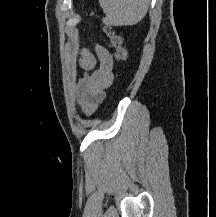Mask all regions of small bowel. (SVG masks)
<instances>
[{
    "instance_id": "c3829d8e",
    "label": "small bowel",
    "mask_w": 216,
    "mask_h": 217,
    "mask_svg": "<svg viewBox=\"0 0 216 217\" xmlns=\"http://www.w3.org/2000/svg\"><path fill=\"white\" fill-rule=\"evenodd\" d=\"M79 65L84 76L76 86L78 104L86 116L92 115L103 102L113 81V58L106 48L95 45V54L82 49Z\"/></svg>"
}]
</instances>
